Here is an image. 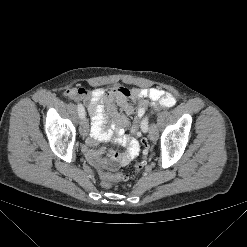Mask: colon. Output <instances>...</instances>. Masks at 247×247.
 <instances>
[{
	"label": "colon",
	"instance_id": "obj_1",
	"mask_svg": "<svg viewBox=\"0 0 247 247\" xmlns=\"http://www.w3.org/2000/svg\"><path fill=\"white\" fill-rule=\"evenodd\" d=\"M119 91L123 94H126L128 92V89L124 87H120ZM162 107L164 106L158 105L155 107V110ZM147 117L148 116L146 112L143 117L135 119L132 124V132L135 136L140 138V143H141V158L137 161L135 165L136 172H141L144 169L150 154L148 142L145 138L142 137L143 124ZM99 175L101 178L102 186L105 188H110L113 182L123 181L129 178V176L123 173H108L105 171H100Z\"/></svg>",
	"mask_w": 247,
	"mask_h": 247
}]
</instances>
